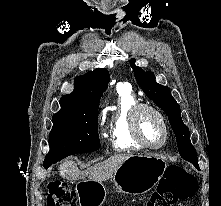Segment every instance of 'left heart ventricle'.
Masks as SVG:
<instances>
[{"label":"left heart ventricle","instance_id":"obj_1","mask_svg":"<svg viewBox=\"0 0 221 206\" xmlns=\"http://www.w3.org/2000/svg\"><path fill=\"white\" fill-rule=\"evenodd\" d=\"M140 130L145 141L151 145H157L163 139L162 124L151 112L144 111L141 114Z\"/></svg>","mask_w":221,"mask_h":206}]
</instances>
